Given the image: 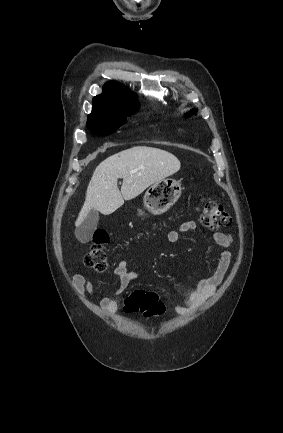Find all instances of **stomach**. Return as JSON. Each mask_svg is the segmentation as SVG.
Returning <instances> with one entry per match:
<instances>
[{
	"label": "stomach",
	"mask_w": 283,
	"mask_h": 433,
	"mask_svg": "<svg viewBox=\"0 0 283 433\" xmlns=\"http://www.w3.org/2000/svg\"><path fill=\"white\" fill-rule=\"evenodd\" d=\"M182 186L180 180L174 178H162L149 186L143 198L144 206L152 212V214H162L166 212L179 196H181ZM139 214H143V210L139 208Z\"/></svg>",
	"instance_id": "stomach-1"
}]
</instances>
